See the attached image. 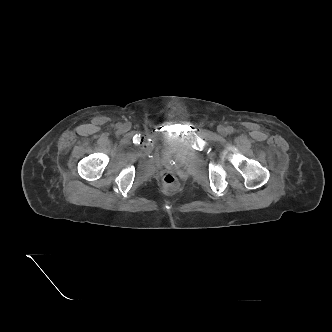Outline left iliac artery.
<instances>
[{"label": "left iliac artery", "mask_w": 332, "mask_h": 332, "mask_svg": "<svg viewBox=\"0 0 332 332\" xmlns=\"http://www.w3.org/2000/svg\"><path fill=\"white\" fill-rule=\"evenodd\" d=\"M227 132L230 133V134L233 133L234 132L233 127L229 126L228 129H227Z\"/></svg>", "instance_id": "1"}]
</instances>
